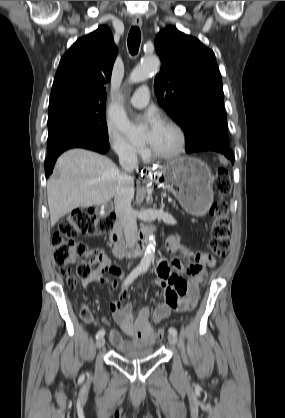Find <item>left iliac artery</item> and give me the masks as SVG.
Instances as JSON below:
<instances>
[{"label":"left iliac artery","instance_id":"left-iliac-artery-1","mask_svg":"<svg viewBox=\"0 0 285 418\" xmlns=\"http://www.w3.org/2000/svg\"><path fill=\"white\" fill-rule=\"evenodd\" d=\"M168 332H169L170 334L177 335V330H176V328H174V327H170V328L168 329Z\"/></svg>","mask_w":285,"mask_h":418}]
</instances>
